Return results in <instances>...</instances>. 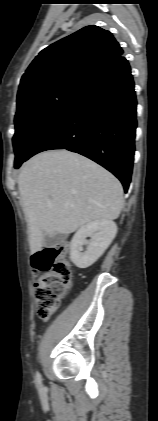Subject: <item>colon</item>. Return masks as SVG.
I'll return each instance as SVG.
<instances>
[{
    "label": "colon",
    "instance_id": "5ec220e1",
    "mask_svg": "<svg viewBox=\"0 0 158 421\" xmlns=\"http://www.w3.org/2000/svg\"><path fill=\"white\" fill-rule=\"evenodd\" d=\"M67 252L68 246L59 244L39 250L32 256L37 277L34 284L35 311L40 318H47L57 311L72 285V267L65 259Z\"/></svg>",
    "mask_w": 158,
    "mask_h": 421
}]
</instances>
